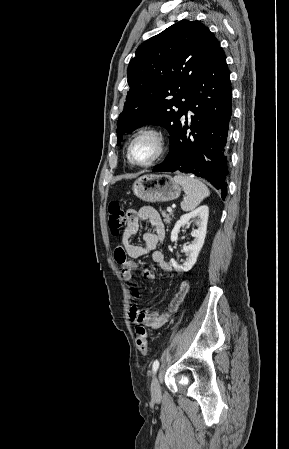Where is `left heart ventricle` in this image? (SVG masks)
Masks as SVG:
<instances>
[{
    "mask_svg": "<svg viewBox=\"0 0 289 449\" xmlns=\"http://www.w3.org/2000/svg\"><path fill=\"white\" fill-rule=\"evenodd\" d=\"M156 153V143L150 137H143L137 140L132 148V155L135 161L144 163L149 161Z\"/></svg>",
    "mask_w": 289,
    "mask_h": 449,
    "instance_id": "b2bd125f",
    "label": "left heart ventricle"
}]
</instances>
